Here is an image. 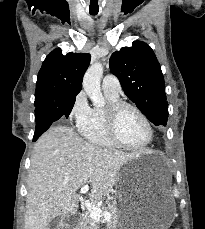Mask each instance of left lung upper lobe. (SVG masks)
Returning a JSON list of instances; mask_svg holds the SVG:
<instances>
[{
    "instance_id": "5c2ea615",
    "label": "left lung upper lobe",
    "mask_w": 205,
    "mask_h": 229,
    "mask_svg": "<svg viewBox=\"0 0 205 229\" xmlns=\"http://www.w3.org/2000/svg\"><path fill=\"white\" fill-rule=\"evenodd\" d=\"M110 70L119 79L123 91L156 126L166 125L168 103L160 65L151 47L134 41L110 57Z\"/></svg>"
}]
</instances>
